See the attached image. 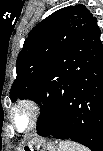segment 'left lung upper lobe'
<instances>
[{"instance_id": "1", "label": "left lung upper lobe", "mask_w": 103, "mask_h": 151, "mask_svg": "<svg viewBox=\"0 0 103 151\" xmlns=\"http://www.w3.org/2000/svg\"><path fill=\"white\" fill-rule=\"evenodd\" d=\"M97 19L82 4L57 10L28 34L17 58V77L12 84V101L32 99L40 80L54 78L58 59ZM56 78V77H55Z\"/></svg>"}]
</instances>
